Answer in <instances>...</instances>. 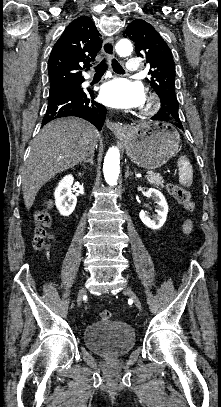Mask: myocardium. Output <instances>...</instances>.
<instances>
[{"label": "myocardium", "mask_w": 221, "mask_h": 407, "mask_svg": "<svg viewBox=\"0 0 221 407\" xmlns=\"http://www.w3.org/2000/svg\"><path fill=\"white\" fill-rule=\"evenodd\" d=\"M160 107V101L158 97L152 93H149L145 98V104L141 109V114L151 115L158 111Z\"/></svg>", "instance_id": "myocardium-1"}]
</instances>
